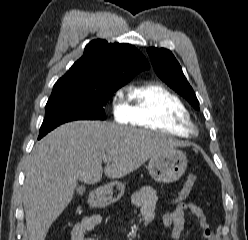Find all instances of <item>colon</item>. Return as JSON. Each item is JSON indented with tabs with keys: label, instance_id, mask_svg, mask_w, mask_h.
Masks as SVG:
<instances>
[{
	"label": "colon",
	"instance_id": "1",
	"mask_svg": "<svg viewBox=\"0 0 248 240\" xmlns=\"http://www.w3.org/2000/svg\"><path fill=\"white\" fill-rule=\"evenodd\" d=\"M195 182H196V177L194 175H189L186 178L183 188L181 189L178 196L174 199V201L176 203L182 202L189 195L190 191L194 187Z\"/></svg>",
	"mask_w": 248,
	"mask_h": 240
}]
</instances>
